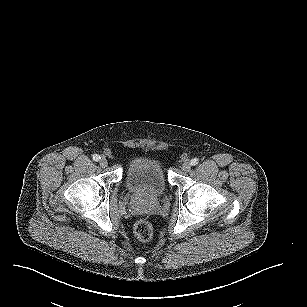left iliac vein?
<instances>
[{
	"label": "left iliac vein",
	"mask_w": 307,
	"mask_h": 307,
	"mask_svg": "<svg viewBox=\"0 0 307 307\" xmlns=\"http://www.w3.org/2000/svg\"><path fill=\"white\" fill-rule=\"evenodd\" d=\"M181 168L183 171L188 172L191 170V164L189 162H185L182 164Z\"/></svg>",
	"instance_id": "4c4485c4"
}]
</instances>
